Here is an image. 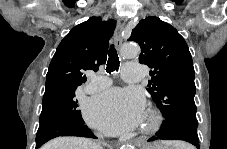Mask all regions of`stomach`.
Here are the masks:
<instances>
[{
	"mask_svg": "<svg viewBox=\"0 0 227 149\" xmlns=\"http://www.w3.org/2000/svg\"><path fill=\"white\" fill-rule=\"evenodd\" d=\"M144 149H168L165 145L162 144H155L153 146H149L147 148Z\"/></svg>",
	"mask_w": 227,
	"mask_h": 149,
	"instance_id": "0dacf381",
	"label": "stomach"
}]
</instances>
